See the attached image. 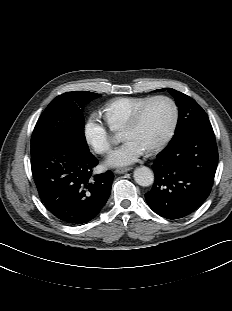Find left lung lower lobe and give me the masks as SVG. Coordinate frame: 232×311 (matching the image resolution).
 Masks as SVG:
<instances>
[{"label": "left lung lower lobe", "mask_w": 232, "mask_h": 311, "mask_svg": "<svg viewBox=\"0 0 232 311\" xmlns=\"http://www.w3.org/2000/svg\"><path fill=\"white\" fill-rule=\"evenodd\" d=\"M218 151L210 121L196 124L172 139L155 159V182L145 194L149 207L167 219L183 218L210 194Z\"/></svg>", "instance_id": "obj_1"}]
</instances>
